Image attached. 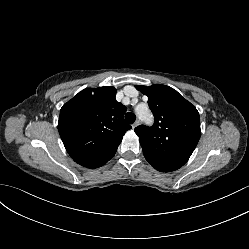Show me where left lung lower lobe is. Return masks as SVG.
<instances>
[{
	"mask_svg": "<svg viewBox=\"0 0 249 249\" xmlns=\"http://www.w3.org/2000/svg\"><path fill=\"white\" fill-rule=\"evenodd\" d=\"M155 169H157V170H159V171H161V172H170V171H174V170L171 169V168H155Z\"/></svg>",
	"mask_w": 249,
	"mask_h": 249,
	"instance_id": "left-lung-lower-lobe-1",
	"label": "left lung lower lobe"
}]
</instances>
